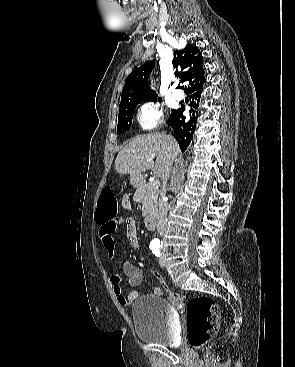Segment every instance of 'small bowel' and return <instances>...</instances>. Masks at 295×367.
Here are the masks:
<instances>
[{"instance_id":"1","label":"small bowel","mask_w":295,"mask_h":367,"mask_svg":"<svg viewBox=\"0 0 295 367\" xmlns=\"http://www.w3.org/2000/svg\"><path fill=\"white\" fill-rule=\"evenodd\" d=\"M122 207L126 210L131 208V202L128 196H124L122 199ZM121 223H125L126 225V232L127 237L134 248H140V238L138 234V226L134 218L127 217V218H115L113 221L99 223V232L98 237L103 245L108 258H114V251H115V242L113 238V234L117 229L118 225ZM122 270L124 275L126 276V283L132 290L129 292L127 296L123 294L121 282L122 277L118 273H114L110 276V282L113 286V292L117 298L118 303L122 307L130 306L138 297H139V290L138 287L141 285L143 281V271L136 265L132 264L129 261L122 262ZM153 293L155 295H161L162 290L158 287L154 288Z\"/></svg>"}]
</instances>
